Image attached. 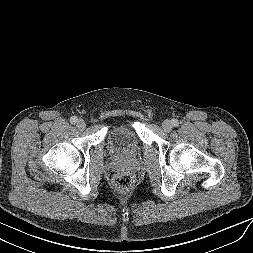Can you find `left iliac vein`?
Returning a JSON list of instances; mask_svg holds the SVG:
<instances>
[{
  "label": "left iliac vein",
  "mask_w": 253,
  "mask_h": 253,
  "mask_svg": "<svg viewBox=\"0 0 253 253\" xmlns=\"http://www.w3.org/2000/svg\"><path fill=\"white\" fill-rule=\"evenodd\" d=\"M172 123L169 120H165L162 123V128L165 132H170L172 130Z\"/></svg>",
  "instance_id": "left-iliac-vein-1"
}]
</instances>
